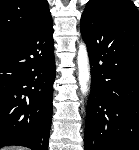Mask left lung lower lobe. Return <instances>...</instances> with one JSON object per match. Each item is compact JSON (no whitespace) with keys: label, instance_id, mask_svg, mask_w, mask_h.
Segmentation results:
<instances>
[{"label":"left lung lower lobe","instance_id":"0a47b994","mask_svg":"<svg viewBox=\"0 0 139 150\" xmlns=\"http://www.w3.org/2000/svg\"><path fill=\"white\" fill-rule=\"evenodd\" d=\"M91 66L85 150H139V12L131 3L86 7Z\"/></svg>","mask_w":139,"mask_h":150}]
</instances>
